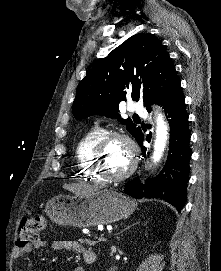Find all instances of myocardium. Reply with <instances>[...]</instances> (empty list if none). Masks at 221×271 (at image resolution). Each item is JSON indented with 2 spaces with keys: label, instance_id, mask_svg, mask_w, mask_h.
I'll use <instances>...</instances> for the list:
<instances>
[{
  "label": "myocardium",
  "instance_id": "obj_1",
  "mask_svg": "<svg viewBox=\"0 0 221 271\" xmlns=\"http://www.w3.org/2000/svg\"><path fill=\"white\" fill-rule=\"evenodd\" d=\"M110 137H103L102 140H100V145H96V153L92 157V169H94L95 175H100L101 178H130V175H132V170H138V150L139 145H135L134 142H130L131 140H134L133 137H131L128 133L122 131V132H110ZM111 142H122V150H128V159L131 161V165L127 166L129 167V170H125L124 173H115V175H108L106 170H103L102 165V157L105 155V150H107V145H111ZM135 155V157H132Z\"/></svg>",
  "mask_w": 221,
  "mask_h": 271
}]
</instances>
